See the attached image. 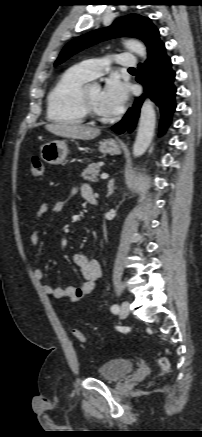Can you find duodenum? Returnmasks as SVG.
<instances>
[{"label": "duodenum", "mask_w": 202, "mask_h": 437, "mask_svg": "<svg viewBox=\"0 0 202 437\" xmlns=\"http://www.w3.org/2000/svg\"><path fill=\"white\" fill-rule=\"evenodd\" d=\"M87 201H88V203H89L90 205H92V206L97 205V199H96L95 195H91V196H89L88 199H87Z\"/></svg>", "instance_id": "duodenum-1"}]
</instances>
